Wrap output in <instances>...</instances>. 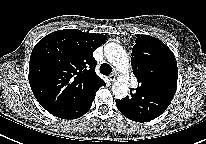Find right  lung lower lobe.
Wrapping results in <instances>:
<instances>
[{
  "instance_id": "98d812e1",
  "label": "right lung lower lobe",
  "mask_w": 206,
  "mask_h": 144,
  "mask_svg": "<svg viewBox=\"0 0 206 144\" xmlns=\"http://www.w3.org/2000/svg\"><path fill=\"white\" fill-rule=\"evenodd\" d=\"M95 93H96V91L90 97H88L84 103H82L78 107L71 109L70 111H68L64 115L60 116V118H62V119H76V118L83 116L90 109L92 102L95 98Z\"/></svg>"
}]
</instances>
